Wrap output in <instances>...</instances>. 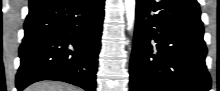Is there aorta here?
Instances as JSON below:
<instances>
[{
	"instance_id": "obj_1",
	"label": "aorta",
	"mask_w": 220,
	"mask_h": 91,
	"mask_svg": "<svg viewBox=\"0 0 220 91\" xmlns=\"http://www.w3.org/2000/svg\"><path fill=\"white\" fill-rule=\"evenodd\" d=\"M128 30H132L135 21L136 0H124Z\"/></svg>"
}]
</instances>
